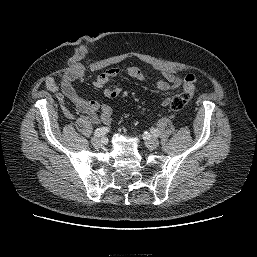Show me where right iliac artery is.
<instances>
[{
  "mask_svg": "<svg viewBox=\"0 0 257 257\" xmlns=\"http://www.w3.org/2000/svg\"><path fill=\"white\" fill-rule=\"evenodd\" d=\"M107 132H108V128L107 127H100V128H97L94 131V136L100 137V136L105 135Z\"/></svg>",
  "mask_w": 257,
  "mask_h": 257,
  "instance_id": "right-iliac-artery-1",
  "label": "right iliac artery"
}]
</instances>
